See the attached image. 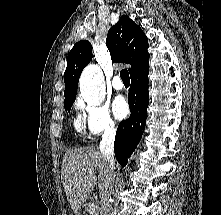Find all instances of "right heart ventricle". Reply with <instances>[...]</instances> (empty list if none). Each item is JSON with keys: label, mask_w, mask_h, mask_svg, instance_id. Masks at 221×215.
I'll return each mask as SVG.
<instances>
[{"label": "right heart ventricle", "mask_w": 221, "mask_h": 215, "mask_svg": "<svg viewBox=\"0 0 221 215\" xmlns=\"http://www.w3.org/2000/svg\"><path fill=\"white\" fill-rule=\"evenodd\" d=\"M75 127L77 130H80V124L77 120L75 121Z\"/></svg>", "instance_id": "e07e8e85"}]
</instances>
